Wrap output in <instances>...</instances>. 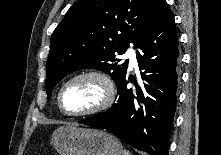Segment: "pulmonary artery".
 Instances as JSON below:
<instances>
[{"label":"pulmonary artery","mask_w":221,"mask_h":155,"mask_svg":"<svg viewBox=\"0 0 221 155\" xmlns=\"http://www.w3.org/2000/svg\"><path fill=\"white\" fill-rule=\"evenodd\" d=\"M125 59L129 60L130 68H135L137 66V58L135 50L129 49L123 56Z\"/></svg>","instance_id":"1"}]
</instances>
